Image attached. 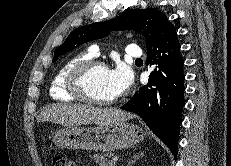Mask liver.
I'll return each mask as SVG.
<instances>
[{"label": "liver", "instance_id": "obj_1", "mask_svg": "<svg viewBox=\"0 0 231 166\" xmlns=\"http://www.w3.org/2000/svg\"><path fill=\"white\" fill-rule=\"evenodd\" d=\"M131 118H133L132 114L115 108H98L82 104H52L40 112L37 121H49L64 126L82 124L107 126Z\"/></svg>", "mask_w": 231, "mask_h": 166}]
</instances>
